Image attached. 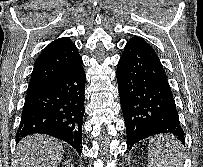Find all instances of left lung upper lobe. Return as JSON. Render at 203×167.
Listing matches in <instances>:
<instances>
[{
  "label": "left lung upper lobe",
  "instance_id": "left-lung-upper-lobe-1",
  "mask_svg": "<svg viewBox=\"0 0 203 167\" xmlns=\"http://www.w3.org/2000/svg\"><path fill=\"white\" fill-rule=\"evenodd\" d=\"M132 39L139 40V41H141V42L147 44V43H146L142 38H140V37H133ZM147 45H148V44H147ZM149 46H150V45H149Z\"/></svg>",
  "mask_w": 203,
  "mask_h": 167
}]
</instances>
